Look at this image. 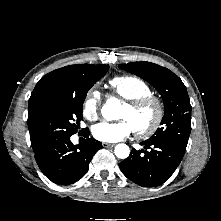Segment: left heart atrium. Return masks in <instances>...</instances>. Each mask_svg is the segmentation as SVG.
I'll return each instance as SVG.
<instances>
[{
  "label": "left heart atrium",
  "instance_id": "1",
  "mask_svg": "<svg viewBox=\"0 0 221 221\" xmlns=\"http://www.w3.org/2000/svg\"><path fill=\"white\" fill-rule=\"evenodd\" d=\"M134 131L127 119L117 122H100L92 127L94 138L102 142L114 143L123 140Z\"/></svg>",
  "mask_w": 221,
  "mask_h": 221
}]
</instances>
